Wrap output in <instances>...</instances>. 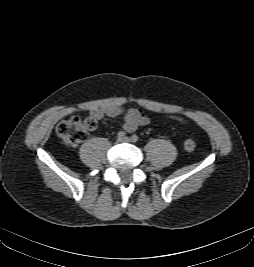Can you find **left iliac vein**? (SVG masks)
<instances>
[{"label": "left iliac vein", "mask_w": 254, "mask_h": 267, "mask_svg": "<svg viewBox=\"0 0 254 267\" xmlns=\"http://www.w3.org/2000/svg\"><path fill=\"white\" fill-rule=\"evenodd\" d=\"M120 142H127L128 143V142H131V139L128 137H125V138L121 139Z\"/></svg>", "instance_id": "1"}]
</instances>
